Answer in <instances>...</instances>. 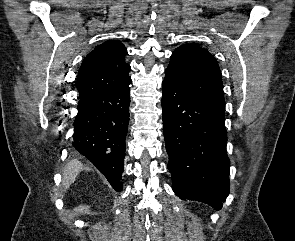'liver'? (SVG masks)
<instances>
[{
	"label": "liver",
	"instance_id": "liver-1",
	"mask_svg": "<svg viewBox=\"0 0 295 241\" xmlns=\"http://www.w3.org/2000/svg\"><path fill=\"white\" fill-rule=\"evenodd\" d=\"M84 169V165L77 159H73L67 164L63 171V186L65 190L74 183L78 174Z\"/></svg>",
	"mask_w": 295,
	"mask_h": 241
}]
</instances>
